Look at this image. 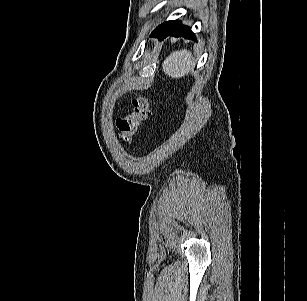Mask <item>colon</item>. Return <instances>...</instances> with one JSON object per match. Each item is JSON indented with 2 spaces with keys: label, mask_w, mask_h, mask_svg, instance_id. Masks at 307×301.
Instances as JSON below:
<instances>
[{
  "label": "colon",
  "mask_w": 307,
  "mask_h": 301,
  "mask_svg": "<svg viewBox=\"0 0 307 301\" xmlns=\"http://www.w3.org/2000/svg\"><path fill=\"white\" fill-rule=\"evenodd\" d=\"M151 116L148 99L138 96L133 100V111L126 117H119L116 120V127L119 131L120 140L124 144H130L139 126Z\"/></svg>",
  "instance_id": "5ec220e1"
}]
</instances>
